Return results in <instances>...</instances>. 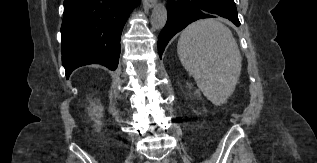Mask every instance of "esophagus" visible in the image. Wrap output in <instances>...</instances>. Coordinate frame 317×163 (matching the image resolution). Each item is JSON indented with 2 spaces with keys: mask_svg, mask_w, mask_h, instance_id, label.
<instances>
[{
  "mask_svg": "<svg viewBox=\"0 0 317 163\" xmlns=\"http://www.w3.org/2000/svg\"><path fill=\"white\" fill-rule=\"evenodd\" d=\"M144 2L149 8H153L156 4V0H144Z\"/></svg>",
  "mask_w": 317,
  "mask_h": 163,
  "instance_id": "34e87169",
  "label": "esophagus"
}]
</instances>
